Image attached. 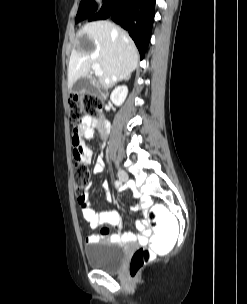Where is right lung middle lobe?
<instances>
[{"instance_id":"right-lung-middle-lobe-1","label":"right lung middle lobe","mask_w":247,"mask_h":304,"mask_svg":"<svg viewBox=\"0 0 247 304\" xmlns=\"http://www.w3.org/2000/svg\"><path fill=\"white\" fill-rule=\"evenodd\" d=\"M96 9L97 6L94 0H81L78 13L75 18V23H78L86 18H89Z\"/></svg>"}]
</instances>
